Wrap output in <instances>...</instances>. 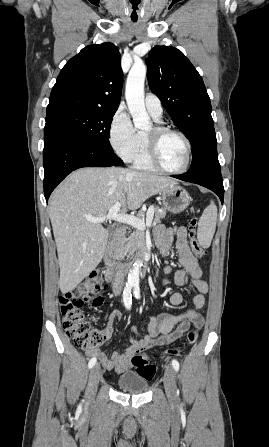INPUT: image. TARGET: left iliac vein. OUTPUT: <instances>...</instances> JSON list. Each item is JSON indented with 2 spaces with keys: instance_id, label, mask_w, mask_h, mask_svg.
Wrapping results in <instances>:
<instances>
[{
  "instance_id": "obj_1",
  "label": "left iliac vein",
  "mask_w": 269,
  "mask_h": 447,
  "mask_svg": "<svg viewBox=\"0 0 269 447\" xmlns=\"http://www.w3.org/2000/svg\"><path fill=\"white\" fill-rule=\"evenodd\" d=\"M163 379L168 401L170 404H174L177 402V389L175 384V370L171 366H167Z\"/></svg>"
}]
</instances>
